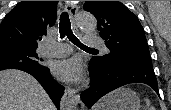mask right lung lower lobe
I'll return each instance as SVG.
<instances>
[{
	"mask_svg": "<svg viewBox=\"0 0 171 110\" xmlns=\"http://www.w3.org/2000/svg\"><path fill=\"white\" fill-rule=\"evenodd\" d=\"M23 70L33 77H35L42 85V87L46 90L55 106L59 108V102L61 97L64 94V87H62L58 82H56L50 75L49 69L47 67L43 69L36 68H22Z\"/></svg>",
	"mask_w": 171,
	"mask_h": 110,
	"instance_id": "1",
	"label": "right lung lower lobe"
}]
</instances>
